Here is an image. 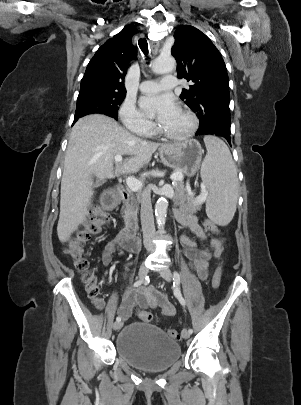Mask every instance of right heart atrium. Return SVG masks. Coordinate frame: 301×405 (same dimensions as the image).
<instances>
[{
    "mask_svg": "<svg viewBox=\"0 0 301 405\" xmlns=\"http://www.w3.org/2000/svg\"><path fill=\"white\" fill-rule=\"evenodd\" d=\"M119 118L126 129L137 135H148L153 129L152 122L141 114L130 101H125L121 105Z\"/></svg>",
    "mask_w": 301,
    "mask_h": 405,
    "instance_id": "obj_1",
    "label": "right heart atrium"
}]
</instances>
